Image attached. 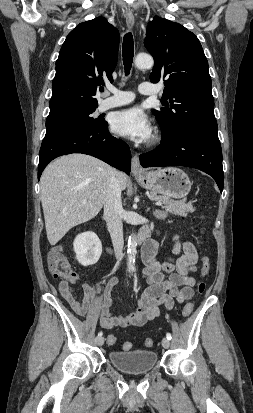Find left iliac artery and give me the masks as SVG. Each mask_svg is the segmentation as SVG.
<instances>
[{
    "instance_id": "1",
    "label": "left iliac artery",
    "mask_w": 253,
    "mask_h": 413,
    "mask_svg": "<svg viewBox=\"0 0 253 413\" xmlns=\"http://www.w3.org/2000/svg\"><path fill=\"white\" fill-rule=\"evenodd\" d=\"M166 337H167L168 340H171V338H172L170 333H167Z\"/></svg>"
}]
</instances>
